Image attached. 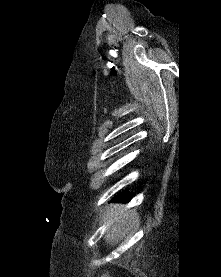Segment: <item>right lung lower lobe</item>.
I'll return each instance as SVG.
<instances>
[{
  "instance_id": "right-lung-lower-lobe-1",
  "label": "right lung lower lobe",
  "mask_w": 221,
  "mask_h": 277,
  "mask_svg": "<svg viewBox=\"0 0 221 277\" xmlns=\"http://www.w3.org/2000/svg\"><path fill=\"white\" fill-rule=\"evenodd\" d=\"M132 198V196L128 195L127 193H123V194H120V195H117L115 200H120L122 202H128L130 201V199Z\"/></svg>"
}]
</instances>
